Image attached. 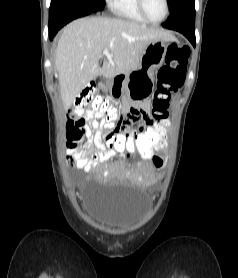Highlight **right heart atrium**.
Listing matches in <instances>:
<instances>
[{
	"label": "right heart atrium",
	"instance_id": "d8ad5b80",
	"mask_svg": "<svg viewBox=\"0 0 238 278\" xmlns=\"http://www.w3.org/2000/svg\"><path fill=\"white\" fill-rule=\"evenodd\" d=\"M107 2H108V4H109V2H110V0H106Z\"/></svg>",
	"mask_w": 238,
	"mask_h": 278
}]
</instances>
